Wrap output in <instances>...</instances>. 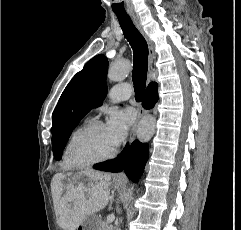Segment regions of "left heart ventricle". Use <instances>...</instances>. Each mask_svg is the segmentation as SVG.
Here are the masks:
<instances>
[{"instance_id":"left-heart-ventricle-1","label":"left heart ventricle","mask_w":241,"mask_h":230,"mask_svg":"<svg viewBox=\"0 0 241 230\" xmlns=\"http://www.w3.org/2000/svg\"><path fill=\"white\" fill-rule=\"evenodd\" d=\"M115 147L110 142L106 127L95 129L85 137L78 149L79 157L83 160L103 157L111 153Z\"/></svg>"}]
</instances>
